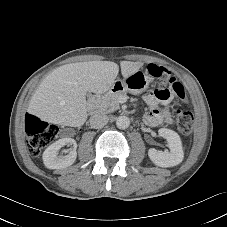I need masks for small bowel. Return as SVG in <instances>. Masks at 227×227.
<instances>
[{
    "label": "small bowel",
    "instance_id": "small-bowel-1",
    "mask_svg": "<svg viewBox=\"0 0 227 227\" xmlns=\"http://www.w3.org/2000/svg\"><path fill=\"white\" fill-rule=\"evenodd\" d=\"M174 99V94L167 87H161L154 93H147L144 96V101L149 106V111L145 113L144 120L149 126H157L162 123H172V117L169 112V105ZM158 104L164 106L163 109L158 107Z\"/></svg>",
    "mask_w": 227,
    "mask_h": 227
}]
</instances>
